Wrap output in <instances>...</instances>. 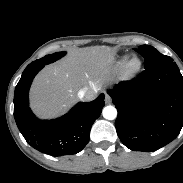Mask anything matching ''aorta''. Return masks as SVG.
I'll list each match as a JSON object with an SVG mask.
<instances>
[{"label": "aorta", "instance_id": "1", "mask_svg": "<svg viewBox=\"0 0 183 183\" xmlns=\"http://www.w3.org/2000/svg\"><path fill=\"white\" fill-rule=\"evenodd\" d=\"M103 117L107 120H114L117 117V110L113 106H106L102 111Z\"/></svg>", "mask_w": 183, "mask_h": 183}]
</instances>
